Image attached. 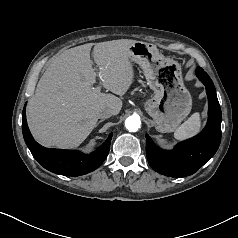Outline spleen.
I'll return each instance as SVG.
<instances>
[{"mask_svg":"<svg viewBox=\"0 0 238 238\" xmlns=\"http://www.w3.org/2000/svg\"><path fill=\"white\" fill-rule=\"evenodd\" d=\"M200 128V114L194 113L176 129L174 137L177 140H185L197 134L200 131Z\"/></svg>","mask_w":238,"mask_h":238,"instance_id":"obj_1","label":"spleen"}]
</instances>
